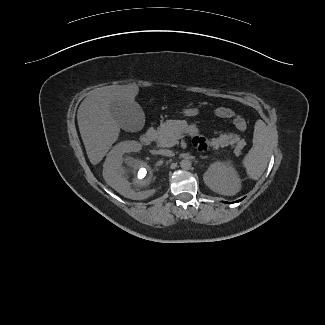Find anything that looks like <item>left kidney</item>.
<instances>
[{
	"label": "left kidney",
	"instance_id": "obj_1",
	"mask_svg": "<svg viewBox=\"0 0 325 325\" xmlns=\"http://www.w3.org/2000/svg\"><path fill=\"white\" fill-rule=\"evenodd\" d=\"M203 179L213 192L221 195H234L241 187V180L236 175L235 170L220 162L211 164L204 173Z\"/></svg>",
	"mask_w": 325,
	"mask_h": 325
}]
</instances>
